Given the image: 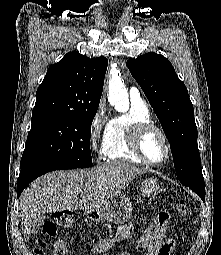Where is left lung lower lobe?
Returning a JSON list of instances; mask_svg holds the SVG:
<instances>
[{
  "label": "left lung lower lobe",
  "mask_w": 221,
  "mask_h": 255,
  "mask_svg": "<svg viewBox=\"0 0 221 255\" xmlns=\"http://www.w3.org/2000/svg\"><path fill=\"white\" fill-rule=\"evenodd\" d=\"M193 190L197 195L201 197L203 202H205V186L204 185H185Z\"/></svg>",
  "instance_id": "1"
}]
</instances>
